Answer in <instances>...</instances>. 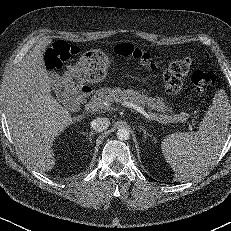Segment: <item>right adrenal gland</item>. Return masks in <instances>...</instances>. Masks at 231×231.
<instances>
[{"instance_id": "obj_1", "label": "right adrenal gland", "mask_w": 231, "mask_h": 231, "mask_svg": "<svg viewBox=\"0 0 231 231\" xmlns=\"http://www.w3.org/2000/svg\"><path fill=\"white\" fill-rule=\"evenodd\" d=\"M94 134H95V133H94L93 131H91L89 134L83 133V135H86L87 137H89L90 142H92V136H93Z\"/></svg>"}]
</instances>
